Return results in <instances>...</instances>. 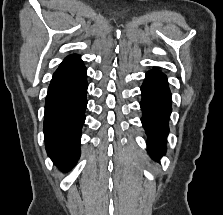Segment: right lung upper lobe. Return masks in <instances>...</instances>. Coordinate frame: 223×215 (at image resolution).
I'll return each mask as SVG.
<instances>
[{
  "mask_svg": "<svg viewBox=\"0 0 223 215\" xmlns=\"http://www.w3.org/2000/svg\"><path fill=\"white\" fill-rule=\"evenodd\" d=\"M84 69L85 66L83 65L79 55H69L55 71L51 82L72 77Z\"/></svg>",
  "mask_w": 223,
  "mask_h": 215,
  "instance_id": "obj_1",
  "label": "right lung upper lobe"
}]
</instances>
